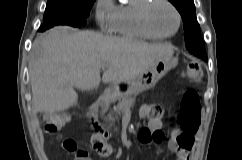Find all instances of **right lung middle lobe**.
<instances>
[{"label": "right lung middle lobe", "mask_w": 242, "mask_h": 160, "mask_svg": "<svg viewBox=\"0 0 242 160\" xmlns=\"http://www.w3.org/2000/svg\"><path fill=\"white\" fill-rule=\"evenodd\" d=\"M95 0H48L43 24L38 31H45L56 25L82 27Z\"/></svg>", "instance_id": "1"}]
</instances>
